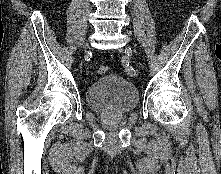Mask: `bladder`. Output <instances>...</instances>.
I'll list each match as a JSON object with an SVG mask.
<instances>
[{
	"label": "bladder",
	"mask_w": 221,
	"mask_h": 174,
	"mask_svg": "<svg viewBox=\"0 0 221 174\" xmlns=\"http://www.w3.org/2000/svg\"><path fill=\"white\" fill-rule=\"evenodd\" d=\"M86 102L94 111L126 113L138 105L139 92L123 77L106 74L89 85Z\"/></svg>",
	"instance_id": "obj_1"
}]
</instances>
